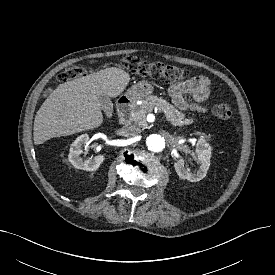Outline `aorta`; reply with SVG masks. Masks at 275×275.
Listing matches in <instances>:
<instances>
[{"instance_id":"1","label":"aorta","mask_w":275,"mask_h":275,"mask_svg":"<svg viewBox=\"0 0 275 275\" xmlns=\"http://www.w3.org/2000/svg\"><path fill=\"white\" fill-rule=\"evenodd\" d=\"M147 147L152 152H161L165 148V139L159 134H152L147 137Z\"/></svg>"}]
</instances>
